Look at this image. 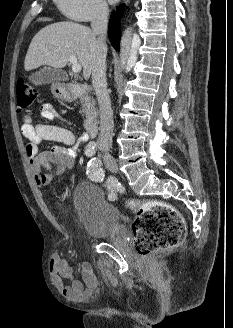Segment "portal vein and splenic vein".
I'll list each match as a JSON object with an SVG mask.
<instances>
[{"label": "portal vein and splenic vein", "mask_w": 233, "mask_h": 328, "mask_svg": "<svg viewBox=\"0 0 233 328\" xmlns=\"http://www.w3.org/2000/svg\"><path fill=\"white\" fill-rule=\"evenodd\" d=\"M70 63L72 64V71L74 73H79L82 69L81 65L78 63V60L75 55H70Z\"/></svg>", "instance_id": "18ae733b"}]
</instances>
